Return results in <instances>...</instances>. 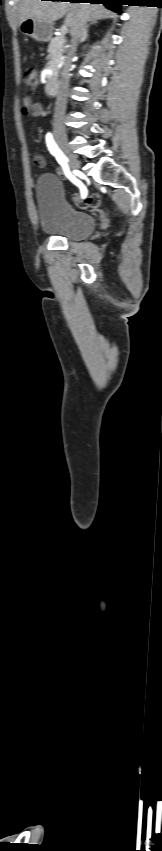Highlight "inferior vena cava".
Instances as JSON below:
<instances>
[{
	"mask_svg": "<svg viewBox=\"0 0 162 851\" xmlns=\"http://www.w3.org/2000/svg\"><path fill=\"white\" fill-rule=\"evenodd\" d=\"M87 19L86 16L81 13L79 19L75 25V27L71 30V50L70 57L66 62L62 77L59 85V90L56 97L55 102V110H54V130L59 132H65L64 128V116L66 111V103H67V91L70 79V69H71V58L74 55L77 45L79 42H82L83 33L86 27Z\"/></svg>",
	"mask_w": 162,
	"mask_h": 851,
	"instance_id": "inferior-vena-cava-1",
	"label": "inferior vena cava"
}]
</instances>
